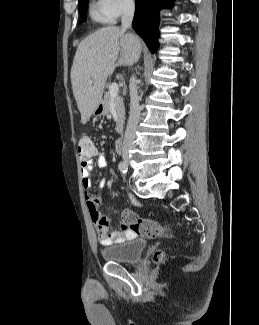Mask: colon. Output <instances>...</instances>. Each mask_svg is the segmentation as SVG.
Returning <instances> with one entry per match:
<instances>
[{"instance_id": "colon-1", "label": "colon", "mask_w": 259, "mask_h": 325, "mask_svg": "<svg viewBox=\"0 0 259 325\" xmlns=\"http://www.w3.org/2000/svg\"><path fill=\"white\" fill-rule=\"evenodd\" d=\"M77 149L81 160L91 158L96 150L92 139L87 135L79 138ZM122 222L135 234L146 238L168 237L172 231L170 225H164L151 219L140 218L135 212L128 209L122 212ZM163 257L164 252L161 250L154 254L155 261H161Z\"/></svg>"}]
</instances>
